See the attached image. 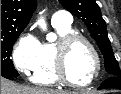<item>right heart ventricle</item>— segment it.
<instances>
[{"label":"right heart ventricle","mask_w":121,"mask_h":94,"mask_svg":"<svg viewBox=\"0 0 121 94\" xmlns=\"http://www.w3.org/2000/svg\"><path fill=\"white\" fill-rule=\"evenodd\" d=\"M53 27L59 38L70 35L73 29L70 25L54 24ZM57 42L40 43L38 62L32 70L31 79L34 83L42 86H56L61 82L55 74V45Z\"/></svg>","instance_id":"1"}]
</instances>
